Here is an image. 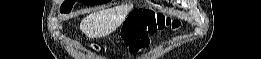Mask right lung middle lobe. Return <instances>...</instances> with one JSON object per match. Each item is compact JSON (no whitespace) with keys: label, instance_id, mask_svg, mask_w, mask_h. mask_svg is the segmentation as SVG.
I'll return each mask as SVG.
<instances>
[{"label":"right lung middle lobe","instance_id":"right-lung-middle-lobe-1","mask_svg":"<svg viewBox=\"0 0 261 59\" xmlns=\"http://www.w3.org/2000/svg\"><path fill=\"white\" fill-rule=\"evenodd\" d=\"M75 0H65L61 5L60 11L62 13H69L73 7ZM83 4L86 5H95V4H104L107 3V0H81Z\"/></svg>","mask_w":261,"mask_h":59}]
</instances>
